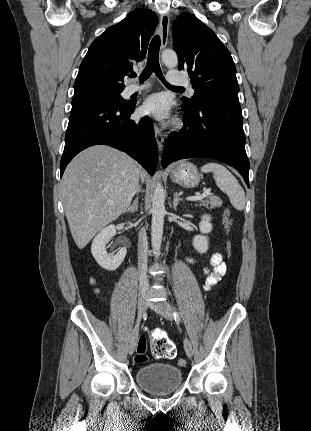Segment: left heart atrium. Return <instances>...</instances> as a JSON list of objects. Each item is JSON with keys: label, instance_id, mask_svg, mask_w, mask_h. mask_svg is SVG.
I'll return each mask as SVG.
<instances>
[{"label": "left heart atrium", "instance_id": "1", "mask_svg": "<svg viewBox=\"0 0 311 431\" xmlns=\"http://www.w3.org/2000/svg\"><path fill=\"white\" fill-rule=\"evenodd\" d=\"M171 101L166 93H154L147 96L140 107V114L144 117L163 121L170 116Z\"/></svg>", "mask_w": 311, "mask_h": 431}]
</instances>
